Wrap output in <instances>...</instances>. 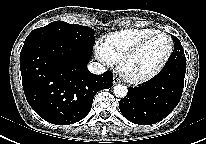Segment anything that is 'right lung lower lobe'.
I'll use <instances>...</instances> for the list:
<instances>
[{
	"mask_svg": "<svg viewBox=\"0 0 206 144\" xmlns=\"http://www.w3.org/2000/svg\"><path fill=\"white\" fill-rule=\"evenodd\" d=\"M92 51L61 42L24 43L20 69L26 99L44 120L57 125L87 116L95 94L112 87L113 74L94 75L87 69Z\"/></svg>",
	"mask_w": 206,
	"mask_h": 144,
	"instance_id": "right-lung-lower-lobe-1",
	"label": "right lung lower lobe"
}]
</instances>
